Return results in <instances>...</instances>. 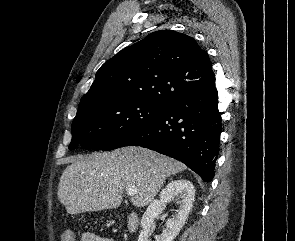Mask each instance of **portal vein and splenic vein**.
Wrapping results in <instances>:
<instances>
[{"instance_id":"1","label":"portal vein and splenic vein","mask_w":295,"mask_h":241,"mask_svg":"<svg viewBox=\"0 0 295 241\" xmlns=\"http://www.w3.org/2000/svg\"><path fill=\"white\" fill-rule=\"evenodd\" d=\"M137 192H138V188L135 187V186H131V187H129V188L126 189V193H127V195H129V196H133V195H135Z\"/></svg>"}]
</instances>
